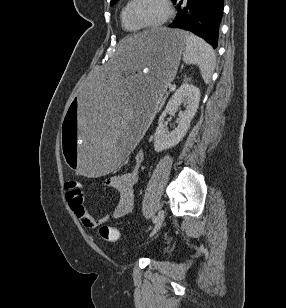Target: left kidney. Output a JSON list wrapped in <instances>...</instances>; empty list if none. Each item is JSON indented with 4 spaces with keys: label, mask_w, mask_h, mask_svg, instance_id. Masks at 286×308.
<instances>
[{
    "label": "left kidney",
    "mask_w": 286,
    "mask_h": 308,
    "mask_svg": "<svg viewBox=\"0 0 286 308\" xmlns=\"http://www.w3.org/2000/svg\"><path fill=\"white\" fill-rule=\"evenodd\" d=\"M199 102L200 91L194 85L183 83L176 90L159 118L158 127L154 135V149L156 152L174 147L183 139L190 127L191 120L197 112ZM181 103H183L185 111H180ZM177 111H179L178 126L172 132H169L164 126V118L167 113H176Z\"/></svg>",
    "instance_id": "left-kidney-1"
}]
</instances>
